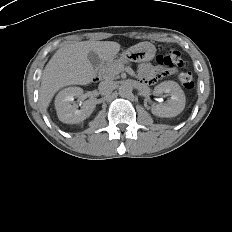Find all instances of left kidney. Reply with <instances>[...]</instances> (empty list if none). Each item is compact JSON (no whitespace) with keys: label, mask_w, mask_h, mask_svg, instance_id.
Listing matches in <instances>:
<instances>
[{"label":"left kidney","mask_w":232,"mask_h":232,"mask_svg":"<svg viewBox=\"0 0 232 232\" xmlns=\"http://www.w3.org/2000/svg\"><path fill=\"white\" fill-rule=\"evenodd\" d=\"M154 92L157 95L167 93L171 97L166 104H158L152 107L151 112L153 115L170 118L180 114L185 108V94L178 83L174 81H164L158 84Z\"/></svg>","instance_id":"1"}]
</instances>
